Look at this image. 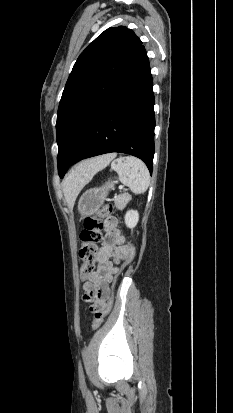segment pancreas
<instances>
[{
	"mask_svg": "<svg viewBox=\"0 0 233 413\" xmlns=\"http://www.w3.org/2000/svg\"><path fill=\"white\" fill-rule=\"evenodd\" d=\"M130 200V197L127 195H122V196H118L115 199V206L117 209L121 210L123 209L126 204L128 203V201Z\"/></svg>",
	"mask_w": 233,
	"mask_h": 413,
	"instance_id": "1",
	"label": "pancreas"
}]
</instances>
